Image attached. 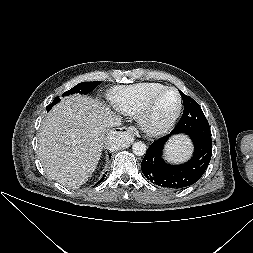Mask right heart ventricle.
<instances>
[{
	"mask_svg": "<svg viewBox=\"0 0 253 253\" xmlns=\"http://www.w3.org/2000/svg\"><path fill=\"white\" fill-rule=\"evenodd\" d=\"M164 87L165 85L156 82L118 86L113 88L111 100L120 112L129 116H138L146 99Z\"/></svg>",
	"mask_w": 253,
	"mask_h": 253,
	"instance_id": "e07e8e85",
	"label": "right heart ventricle"
}]
</instances>
